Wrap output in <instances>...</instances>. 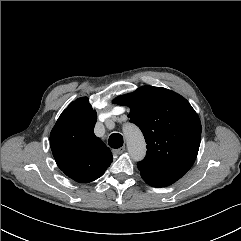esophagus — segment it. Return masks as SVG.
Listing matches in <instances>:
<instances>
[{
    "instance_id": "esophagus-1",
    "label": "esophagus",
    "mask_w": 241,
    "mask_h": 241,
    "mask_svg": "<svg viewBox=\"0 0 241 241\" xmlns=\"http://www.w3.org/2000/svg\"><path fill=\"white\" fill-rule=\"evenodd\" d=\"M124 151H125V145L122 146V147H120L119 149H114V150H112L113 155H119V154H121V153L124 152Z\"/></svg>"
}]
</instances>
